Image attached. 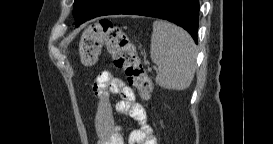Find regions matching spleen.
I'll use <instances>...</instances> for the list:
<instances>
[{"instance_id": "obj_1", "label": "spleen", "mask_w": 273, "mask_h": 144, "mask_svg": "<svg viewBox=\"0 0 273 144\" xmlns=\"http://www.w3.org/2000/svg\"><path fill=\"white\" fill-rule=\"evenodd\" d=\"M150 55L158 65L157 85L172 90L190 86L195 73V43L184 29L167 21H154Z\"/></svg>"}]
</instances>
